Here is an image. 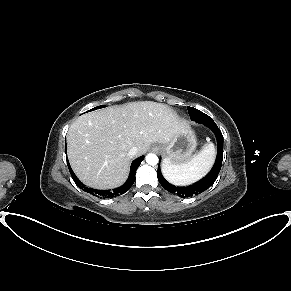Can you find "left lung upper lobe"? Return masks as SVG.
Returning a JSON list of instances; mask_svg holds the SVG:
<instances>
[{"label": "left lung upper lobe", "mask_w": 291, "mask_h": 291, "mask_svg": "<svg viewBox=\"0 0 291 291\" xmlns=\"http://www.w3.org/2000/svg\"><path fill=\"white\" fill-rule=\"evenodd\" d=\"M187 109H188V112H189L190 118L193 119V118H192V115H193L194 113H197L198 110L195 109V108H193V107H189V106L187 107ZM177 190H179V189L177 188ZM174 194L178 195V193H174Z\"/></svg>", "instance_id": "obj_1"}]
</instances>
